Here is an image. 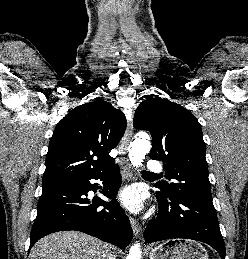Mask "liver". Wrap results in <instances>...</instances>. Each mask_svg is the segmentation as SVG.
Masks as SVG:
<instances>
[{
    "label": "liver",
    "mask_w": 248,
    "mask_h": 259,
    "mask_svg": "<svg viewBox=\"0 0 248 259\" xmlns=\"http://www.w3.org/2000/svg\"><path fill=\"white\" fill-rule=\"evenodd\" d=\"M109 246L77 231L49 234L31 249L29 259H108Z\"/></svg>",
    "instance_id": "liver-1"
}]
</instances>
